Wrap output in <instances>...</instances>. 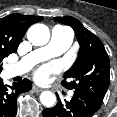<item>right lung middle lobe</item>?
Returning a JSON list of instances; mask_svg holds the SVG:
<instances>
[{
    "label": "right lung middle lobe",
    "instance_id": "right-lung-middle-lobe-1",
    "mask_svg": "<svg viewBox=\"0 0 117 117\" xmlns=\"http://www.w3.org/2000/svg\"><path fill=\"white\" fill-rule=\"evenodd\" d=\"M11 52L0 49V62L3 60V58L7 57ZM2 71V65H0V72Z\"/></svg>",
    "mask_w": 117,
    "mask_h": 117
}]
</instances>
